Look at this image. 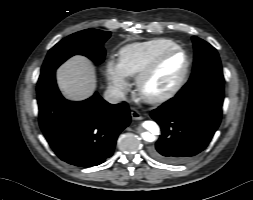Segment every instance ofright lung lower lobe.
<instances>
[{"instance_id": "98d812e1", "label": "right lung lower lobe", "mask_w": 253, "mask_h": 200, "mask_svg": "<svg viewBox=\"0 0 253 200\" xmlns=\"http://www.w3.org/2000/svg\"><path fill=\"white\" fill-rule=\"evenodd\" d=\"M55 70L41 72L38 79L40 128L63 161L99 165L113 154L118 135L130 123L128 105L109 104L98 93L81 102L68 101L58 90Z\"/></svg>"}]
</instances>
